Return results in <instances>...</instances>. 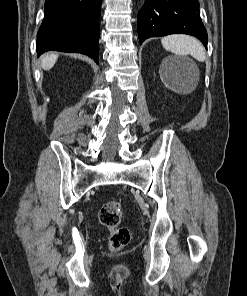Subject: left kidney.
<instances>
[{
    "label": "left kidney",
    "mask_w": 247,
    "mask_h": 296,
    "mask_svg": "<svg viewBox=\"0 0 247 296\" xmlns=\"http://www.w3.org/2000/svg\"><path fill=\"white\" fill-rule=\"evenodd\" d=\"M165 63L173 73H184L185 71V66L179 59L167 58Z\"/></svg>",
    "instance_id": "obj_1"
}]
</instances>
